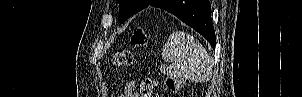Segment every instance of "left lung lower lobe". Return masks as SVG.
<instances>
[{"label":"left lung lower lobe","mask_w":302,"mask_h":97,"mask_svg":"<svg viewBox=\"0 0 302 97\" xmlns=\"http://www.w3.org/2000/svg\"><path fill=\"white\" fill-rule=\"evenodd\" d=\"M150 6L162 8L204 36L215 48L216 37L209 0H155Z\"/></svg>","instance_id":"obj_1"}]
</instances>
